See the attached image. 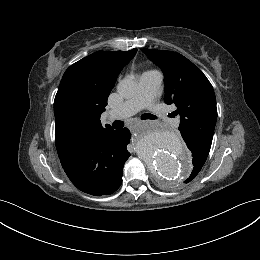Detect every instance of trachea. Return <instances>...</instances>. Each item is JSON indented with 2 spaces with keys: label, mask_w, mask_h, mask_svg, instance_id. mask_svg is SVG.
Returning <instances> with one entry per match:
<instances>
[{
  "label": "trachea",
  "mask_w": 260,
  "mask_h": 260,
  "mask_svg": "<svg viewBox=\"0 0 260 260\" xmlns=\"http://www.w3.org/2000/svg\"><path fill=\"white\" fill-rule=\"evenodd\" d=\"M156 118H157L156 116H154L152 114H149V113L148 114H144L142 116V119H156ZM123 125H124L123 121L116 120V121L113 122V128L114 129H120V128L123 127Z\"/></svg>",
  "instance_id": "trachea-1"
}]
</instances>
